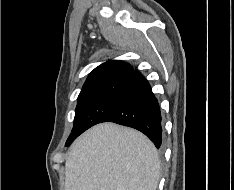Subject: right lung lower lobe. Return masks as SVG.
Masks as SVG:
<instances>
[{
	"label": "right lung lower lobe",
	"mask_w": 234,
	"mask_h": 190,
	"mask_svg": "<svg viewBox=\"0 0 234 190\" xmlns=\"http://www.w3.org/2000/svg\"><path fill=\"white\" fill-rule=\"evenodd\" d=\"M102 122L135 128L144 133L156 148L161 147L163 129L159 103L147 80L137 70L125 79L118 98L99 123ZM73 140L66 142V146Z\"/></svg>",
	"instance_id": "1"
}]
</instances>
